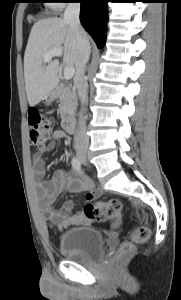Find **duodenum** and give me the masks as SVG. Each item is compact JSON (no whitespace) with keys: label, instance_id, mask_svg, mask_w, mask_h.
Listing matches in <instances>:
<instances>
[{"label":"duodenum","instance_id":"duodenum-1","mask_svg":"<svg viewBox=\"0 0 181 300\" xmlns=\"http://www.w3.org/2000/svg\"><path fill=\"white\" fill-rule=\"evenodd\" d=\"M55 97H56V92L52 91L50 94V98L54 99ZM63 128L68 134H72L74 132V121L71 116L64 117Z\"/></svg>","mask_w":181,"mask_h":300}]
</instances>
